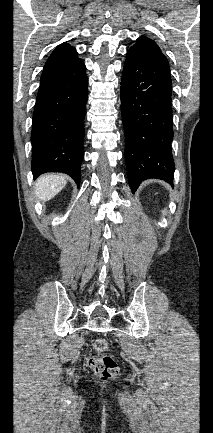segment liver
<instances>
[{
	"instance_id": "1",
	"label": "liver",
	"mask_w": 213,
	"mask_h": 433,
	"mask_svg": "<svg viewBox=\"0 0 213 433\" xmlns=\"http://www.w3.org/2000/svg\"><path fill=\"white\" fill-rule=\"evenodd\" d=\"M67 178L61 174H45L35 183V194L41 201H48L56 196L66 185Z\"/></svg>"
}]
</instances>
